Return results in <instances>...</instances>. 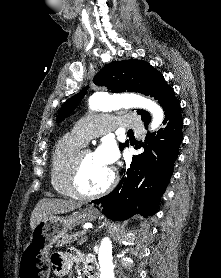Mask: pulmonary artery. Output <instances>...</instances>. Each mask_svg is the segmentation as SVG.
<instances>
[{"label": "pulmonary artery", "instance_id": "1", "mask_svg": "<svg viewBox=\"0 0 221 278\" xmlns=\"http://www.w3.org/2000/svg\"><path fill=\"white\" fill-rule=\"evenodd\" d=\"M115 126L141 130L143 123L132 114L125 116H102L77 123L71 134L86 143L90 139L112 130Z\"/></svg>", "mask_w": 221, "mask_h": 278}]
</instances>
